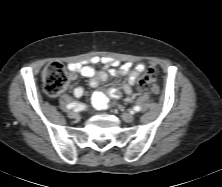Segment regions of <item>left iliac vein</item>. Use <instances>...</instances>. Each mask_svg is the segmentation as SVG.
<instances>
[{
	"instance_id": "obj_1",
	"label": "left iliac vein",
	"mask_w": 222,
	"mask_h": 187,
	"mask_svg": "<svg viewBox=\"0 0 222 187\" xmlns=\"http://www.w3.org/2000/svg\"><path fill=\"white\" fill-rule=\"evenodd\" d=\"M121 117L125 122H132L135 119L134 115L130 113H123Z\"/></svg>"
}]
</instances>
